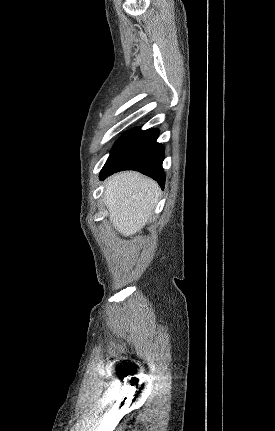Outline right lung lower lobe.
Instances as JSON below:
<instances>
[{"mask_svg": "<svg viewBox=\"0 0 275 431\" xmlns=\"http://www.w3.org/2000/svg\"><path fill=\"white\" fill-rule=\"evenodd\" d=\"M158 130H133L125 133L114 145L100 172V179L122 170H136L156 180L164 188L162 168L164 147L157 143Z\"/></svg>", "mask_w": 275, "mask_h": 431, "instance_id": "obj_1", "label": "right lung lower lobe"}]
</instances>
